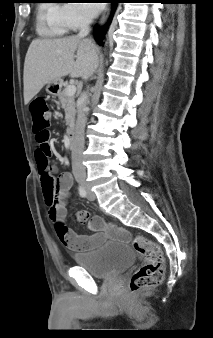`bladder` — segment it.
Here are the masks:
<instances>
[{"instance_id":"obj_1","label":"bladder","mask_w":213,"mask_h":338,"mask_svg":"<svg viewBox=\"0 0 213 338\" xmlns=\"http://www.w3.org/2000/svg\"><path fill=\"white\" fill-rule=\"evenodd\" d=\"M77 266L96 279H109L125 271L135 260L132 247L127 243H105L88 253L74 257Z\"/></svg>"}]
</instances>
